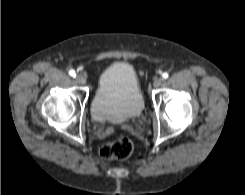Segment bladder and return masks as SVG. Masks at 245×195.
Instances as JSON below:
<instances>
[{"label":"bladder","instance_id":"obj_1","mask_svg":"<svg viewBox=\"0 0 245 195\" xmlns=\"http://www.w3.org/2000/svg\"><path fill=\"white\" fill-rule=\"evenodd\" d=\"M144 99L134 68L115 62L100 75L91 102V116L99 123H123L139 117Z\"/></svg>","mask_w":245,"mask_h":195}]
</instances>
